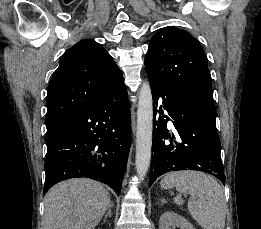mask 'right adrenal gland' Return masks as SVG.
I'll use <instances>...</instances> for the list:
<instances>
[{
  "label": "right adrenal gland",
  "instance_id": "right-adrenal-gland-1",
  "mask_svg": "<svg viewBox=\"0 0 261 229\" xmlns=\"http://www.w3.org/2000/svg\"><path fill=\"white\" fill-rule=\"evenodd\" d=\"M112 207H113V203H110V205H109V207H108V213H107V215H105V217H104V223H105L107 217H112Z\"/></svg>",
  "mask_w": 261,
  "mask_h": 229
}]
</instances>
